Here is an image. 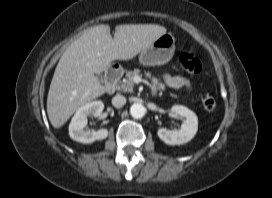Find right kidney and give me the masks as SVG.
<instances>
[{
    "instance_id": "1",
    "label": "right kidney",
    "mask_w": 272,
    "mask_h": 198,
    "mask_svg": "<svg viewBox=\"0 0 272 198\" xmlns=\"http://www.w3.org/2000/svg\"><path fill=\"white\" fill-rule=\"evenodd\" d=\"M104 109L102 101L89 102L80 107L74 114L69 125V136L84 144L93 143L96 140H103L108 136L107 129H100L98 131L84 130L88 122V116H99Z\"/></svg>"
}]
</instances>
